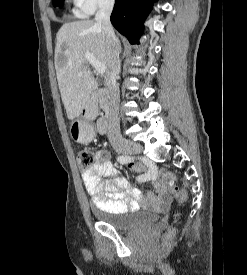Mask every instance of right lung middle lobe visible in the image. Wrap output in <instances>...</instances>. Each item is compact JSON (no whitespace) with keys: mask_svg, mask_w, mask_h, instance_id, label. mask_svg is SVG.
<instances>
[{"mask_svg":"<svg viewBox=\"0 0 247 275\" xmlns=\"http://www.w3.org/2000/svg\"><path fill=\"white\" fill-rule=\"evenodd\" d=\"M53 4H54V6L62 7L63 6V0H53Z\"/></svg>","mask_w":247,"mask_h":275,"instance_id":"1","label":"right lung middle lobe"}]
</instances>
